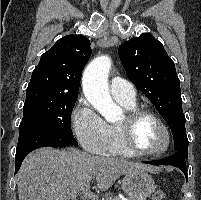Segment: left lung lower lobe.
Instances as JSON below:
<instances>
[{
  "mask_svg": "<svg viewBox=\"0 0 201 200\" xmlns=\"http://www.w3.org/2000/svg\"><path fill=\"white\" fill-rule=\"evenodd\" d=\"M188 158V151H176L173 155L163 158L160 160L154 161H145L144 163H148L151 165H172L178 167L180 170L183 171L186 177V181L188 180V174L186 170V159Z\"/></svg>",
  "mask_w": 201,
  "mask_h": 200,
  "instance_id": "left-lung-lower-lobe-1",
  "label": "left lung lower lobe"
}]
</instances>
